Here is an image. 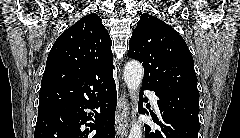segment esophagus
<instances>
[{
  "label": "esophagus",
  "mask_w": 240,
  "mask_h": 138,
  "mask_svg": "<svg viewBox=\"0 0 240 138\" xmlns=\"http://www.w3.org/2000/svg\"><path fill=\"white\" fill-rule=\"evenodd\" d=\"M128 114H129V102L128 94L124 84L122 85V92L118 103V114L116 116V131L117 134L124 137L128 131Z\"/></svg>",
  "instance_id": "1"
}]
</instances>
